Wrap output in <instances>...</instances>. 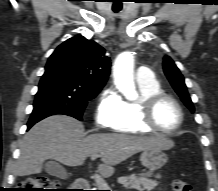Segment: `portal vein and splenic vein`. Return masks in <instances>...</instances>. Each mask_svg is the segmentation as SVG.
<instances>
[{"instance_id": "portal-vein-and-splenic-vein-1", "label": "portal vein and splenic vein", "mask_w": 218, "mask_h": 191, "mask_svg": "<svg viewBox=\"0 0 218 191\" xmlns=\"http://www.w3.org/2000/svg\"><path fill=\"white\" fill-rule=\"evenodd\" d=\"M99 155H92L91 159L95 160ZM95 182L99 188V190H107L108 185L106 184L105 180L98 174L94 175Z\"/></svg>"}]
</instances>
